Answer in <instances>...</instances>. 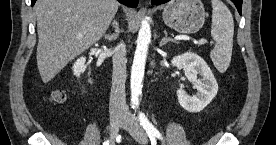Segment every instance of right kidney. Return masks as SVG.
I'll return each instance as SVG.
<instances>
[{
	"instance_id": "1",
	"label": "right kidney",
	"mask_w": 276,
	"mask_h": 145,
	"mask_svg": "<svg viewBox=\"0 0 276 145\" xmlns=\"http://www.w3.org/2000/svg\"><path fill=\"white\" fill-rule=\"evenodd\" d=\"M85 61L86 58L85 57H80L79 59H77V61L74 63L73 65V74L76 77H79L81 73L84 72L85 69Z\"/></svg>"
}]
</instances>
